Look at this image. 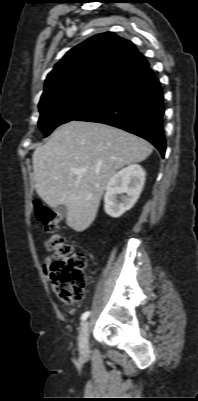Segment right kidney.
<instances>
[{"instance_id": "obj_1", "label": "right kidney", "mask_w": 198, "mask_h": 401, "mask_svg": "<svg viewBox=\"0 0 198 401\" xmlns=\"http://www.w3.org/2000/svg\"><path fill=\"white\" fill-rule=\"evenodd\" d=\"M145 175L140 165L132 164L110 178L104 196V210L109 216L118 218L134 206L144 187ZM119 196L121 202L117 200Z\"/></svg>"}]
</instances>
